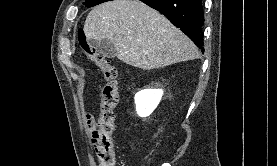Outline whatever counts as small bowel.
I'll list each match as a JSON object with an SVG mask.
<instances>
[{
    "label": "small bowel",
    "instance_id": "c3829d8e",
    "mask_svg": "<svg viewBox=\"0 0 277 166\" xmlns=\"http://www.w3.org/2000/svg\"><path fill=\"white\" fill-rule=\"evenodd\" d=\"M88 124H89V126H91L92 125V123L94 122L93 121V118L92 117H90V116H88Z\"/></svg>",
    "mask_w": 277,
    "mask_h": 166
}]
</instances>
